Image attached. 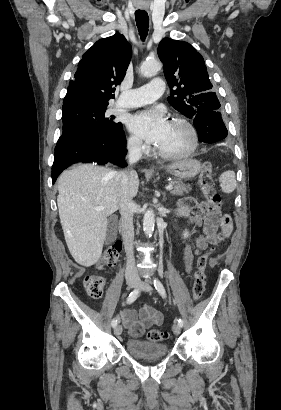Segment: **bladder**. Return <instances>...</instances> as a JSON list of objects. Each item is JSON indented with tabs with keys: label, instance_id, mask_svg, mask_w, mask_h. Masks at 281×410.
<instances>
[{
	"label": "bladder",
	"instance_id": "31cf9c89",
	"mask_svg": "<svg viewBox=\"0 0 281 410\" xmlns=\"http://www.w3.org/2000/svg\"><path fill=\"white\" fill-rule=\"evenodd\" d=\"M126 349L130 355L139 358H158L168 353V347L165 344L136 338L127 341Z\"/></svg>",
	"mask_w": 281,
	"mask_h": 410
}]
</instances>
